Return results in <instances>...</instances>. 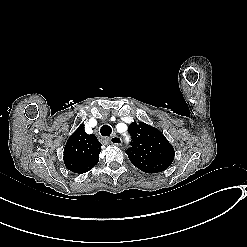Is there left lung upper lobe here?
Returning <instances> with one entry per match:
<instances>
[{"label": "left lung upper lobe", "instance_id": "1", "mask_svg": "<svg viewBox=\"0 0 247 247\" xmlns=\"http://www.w3.org/2000/svg\"><path fill=\"white\" fill-rule=\"evenodd\" d=\"M131 147L126 151L132 164L145 173L166 170L174 159V149L156 128L143 122L131 123Z\"/></svg>", "mask_w": 247, "mask_h": 247}]
</instances>
